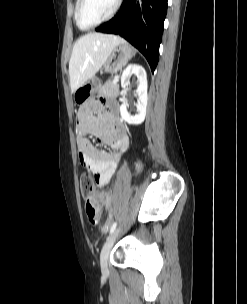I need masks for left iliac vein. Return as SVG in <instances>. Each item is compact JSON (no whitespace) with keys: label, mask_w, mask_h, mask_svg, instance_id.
<instances>
[{"label":"left iliac vein","mask_w":247,"mask_h":304,"mask_svg":"<svg viewBox=\"0 0 247 304\" xmlns=\"http://www.w3.org/2000/svg\"><path fill=\"white\" fill-rule=\"evenodd\" d=\"M121 232V227L116 228L111 234L110 236L107 238L103 249L101 251V256H100V264H101V270L103 273H107L108 271V258H109V253L110 250L114 244V242L116 241L117 237L119 236Z\"/></svg>","instance_id":"1"}]
</instances>
